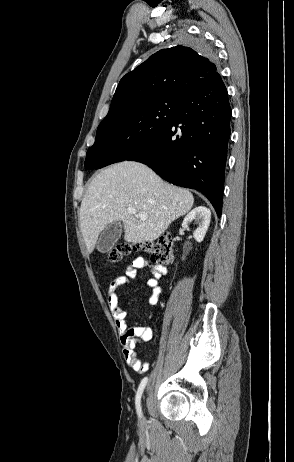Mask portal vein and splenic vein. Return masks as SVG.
I'll return each mask as SVG.
<instances>
[{
    "label": "portal vein and splenic vein",
    "instance_id": "1",
    "mask_svg": "<svg viewBox=\"0 0 294 462\" xmlns=\"http://www.w3.org/2000/svg\"><path fill=\"white\" fill-rule=\"evenodd\" d=\"M127 212L129 214H132V215H135V216L139 217L140 219H143V220L146 219V215L144 213L137 212V210L135 208H128Z\"/></svg>",
    "mask_w": 294,
    "mask_h": 462
}]
</instances>
